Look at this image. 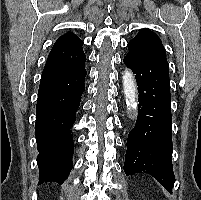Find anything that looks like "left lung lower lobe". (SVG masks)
<instances>
[{"label":"left lung lower lobe","mask_w":201,"mask_h":200,"mask_svg":"<svg viewBox=\"0 0 201 200\" xmlns=\"http://www.w3.org/2000/svg\"><path fill=\"white\" fill-rule=\"evenodd\" d=\"M138 85V117L127 139L126 175H152L170 193L175 176L172 167V114L167 60L143 61L126 55Z\"/></svg>","instance_id":"left-lung-lower-lobe-1"}]
</instances>
